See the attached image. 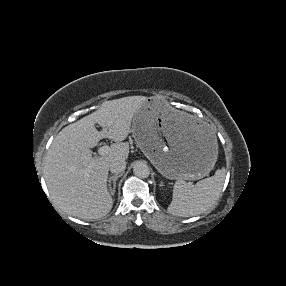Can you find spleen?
I'll return each instance as SVG.
<instances>
[{"mask_svg":"<svg viewBox=\"0 0 286 286\" xmlns=\"http://www.w3.org/2000/svg\"><path fill=\"white\" fill-rule=\"evenodd\" d=\"M225 175V170L219 169L193 187L184 180H177L168 212L174 216L189 217L207 211L219 198Z\"/></svg>","mask_w":286,"mask_h":286,"instance_id":"3e777b00","label":"spleen"}]
</instances>
